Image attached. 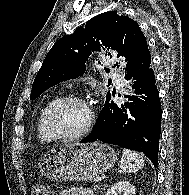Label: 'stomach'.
I'll return each mask as SVG.
<instances>
[{
	"mask_svg": "<svg viewBox=\"0 0 189 195\" xmlns=\"http://www.w3.org/2000/svg\"><path fill=\"white\" fill-rule=\"evenodd\" d=\"M116 160L112 147L94 142L53 149L44 155L39 168L57 182L87 181L110 169Z\"/></svg>",
	"mask_w": 189,
	"mask_h": 195,
	"instance_id": "1",
	"label": "stomach"
}]
</instances>
